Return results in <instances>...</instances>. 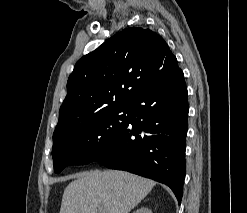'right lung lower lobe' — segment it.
<instances>
[{"label":"right lung lower lobe","instance_id":"obj_1","mask_svg":"<svg viewBox=\"0 0 247 213\" xmlns=\"http://www.w3.org/2000/svg\"><path fill=\"white\" fill-rule=\"evenodd\" d=\"M130 118L110 150L97 161L169 186L178 202L185 178L188 96L182 70L136 94L129 102Z\"/></svg>","mask_w":247,"mask_h":213}]
</instances>
